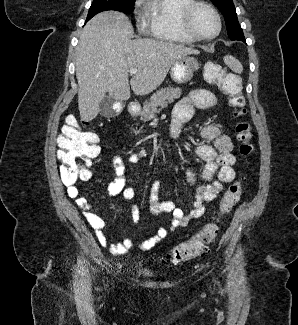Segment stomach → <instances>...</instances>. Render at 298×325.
<instances>
[{"mask_svg":"<svg viewBox=\"0 0 298 325\" xmlns=\"http://www.w3.org/2000/svg\"><path fill=\"white\" fill-rule=\"evenodd\" d=\"M201 64L193 54H184L182 58L176 60L170 68V76L177 84H184L193 78L196 70H199Z\"/></svg>","mask_w":298,"mask_h":325,"instance_id":"0dacf381","label":"stomach"}]
</instances>
